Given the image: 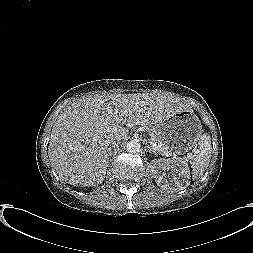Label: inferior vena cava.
<instances>
[{
    "label": "inferior vena cava",
    "mask_w": 253,
    "mask_h": 253,
    "mask_svg": "<svg viewBox=\"0 0 253 253\" xmlns=\"http://www.w3.org/2000/svg\"><path fill=\"white\" fill-rule=\"evenodd\" d=\"M120 141H121L120 139H115V141H113V142L110 144L111 147H116V146H118V144H119Z\"/></svg>",
    "instance_id": "1"
}]
</instances>
